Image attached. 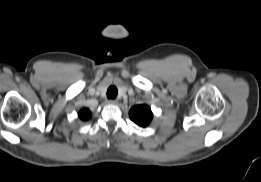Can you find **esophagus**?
<instances>
[{
    "label": "esophagus",
    "instance_id": "34e87169",
    "mask_svg": "<svg viewBox=\"0 0 261 182\" xmlns=\"http://www.w3.org/2000/svg\"><path fill=\"white\" fill-rule=\"evenodd\" d=\"M108 103L115 105V104H117V100H115V99H110V100L108 101Z\"/></svg>",
    "mask_w": 261,
    "mask_h": 182
}]
</instances>
